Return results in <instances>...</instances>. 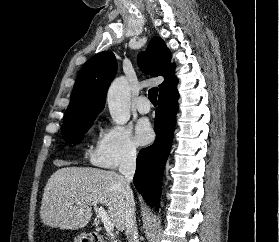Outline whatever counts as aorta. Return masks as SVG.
<instances>
[{
  "label": "aorta",
  "mask_w": 279,
  "mask_h": 242,
  "mask_svg": "<svg viewBox=\"0 0 279 242\" xmlns=\"http://www.w3.org/2000/svg\"><path fill=\"white\" fill-rule=\"evenodd\" d=\"M107 103L113 123L126 124L130 119V90L124 77L112 82L107 94Z\"/></svg>",
  "instance_id": "762f6f07"
}]
</instances>
